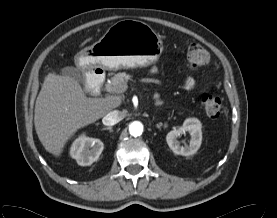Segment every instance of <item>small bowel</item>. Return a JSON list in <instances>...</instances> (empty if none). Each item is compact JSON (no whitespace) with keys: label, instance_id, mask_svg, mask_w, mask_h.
Masks as SVG:
<instances>
[{"label":"small bowel","instance_id":"c3829d8e","mask_svg":"<svg viewBox=\"0 0 277 218\" xmlns=\"http://www.w3.org/2000/svg\"><path fill=\"white\" fill-rule=\"evenodd\" d=\"M182 85L184 88L191 90L196 86V81L193 77L187 76L183 79Z\"/></svg>","mask_w":277,"mask_h":218}]
</instances>
